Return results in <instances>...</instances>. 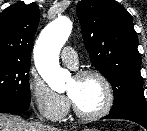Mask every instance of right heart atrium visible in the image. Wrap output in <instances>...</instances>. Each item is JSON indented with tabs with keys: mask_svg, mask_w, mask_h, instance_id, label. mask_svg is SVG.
<instances>
[{
	"mask_svg": "<svg viewBox=\"0 0 147 131\" xmlns=\"http://www.w3.org/2000/svg\"><path fill=\"white\" fill-rule=\"evenodd\" d=\"M28 90L36 109L45 118L60 121L68 113V98L51 89L35 72L29 75Z\"/></svg>",
	"mask_w": 147,
	"mask_h": 131,
	"instance_id": "1",
	"label": "right heart atrium"
}]
</instances>
